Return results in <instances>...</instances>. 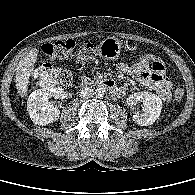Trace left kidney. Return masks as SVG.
I'll return each instance as SVG.
<instances>
[{
    "instance_id": "left-kidney-1",
    "label": "left kidney",
    "mask_w": 195,
    "mask_h": 195,
    "mask_svg": "<svg viewBox=\"0 0 195 195\" xmlns=\"http://www.w3.org/2000/svg\"><path fill=\"white\" fill-rule=\"evenodd\" d=\"M140 102L144 105V111L142 113L135 112L133 121L140 126L152 125L161 114V99L150 92H137L127 98V104L131 107Z\"/></svg>"
}]
</instances>
